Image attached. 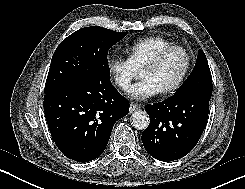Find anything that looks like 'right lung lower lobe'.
Wrapping results in <instances>:
<instances>
[{"label":"right lung lower lobe","mask_w":245,"mask_h":189,"mask_svg":"<svg viewBox=\"0 0 245 189\" xmlns=\"http://www.w3.org/2000/svg\"><path fill=\"white\" fill-rule=\"evenodd\" d=\"M51 136L69 159L88 162L105 150L115 122L129 112V101L99 73L44 96Z\"/></svg>","instance_id":"98d812e1"}]
</instances>
